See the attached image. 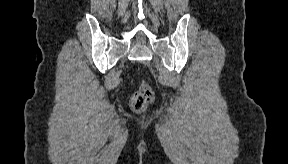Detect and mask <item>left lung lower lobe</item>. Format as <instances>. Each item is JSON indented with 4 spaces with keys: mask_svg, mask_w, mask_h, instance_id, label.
<instances>
[{
    "mask_svg": "<svg viewBox=\"0 0 288 164\" xmlns=\"http://www.w3.org/2000/svg\"><path fill=\"white\" fill-rule=\"evenodd\" d=\"M251 83L252 86L248 95L258 102L263 99L266 76L262 72H251Z\"/></svg>",
    "mask_w": 288,
    "mask_h": 164,
    "instance_id": "left-lung-lower-lobe-1",
    "label": "left lung lower lobe"
}]
</instances>
